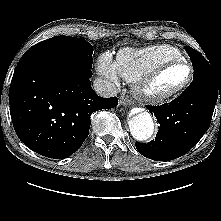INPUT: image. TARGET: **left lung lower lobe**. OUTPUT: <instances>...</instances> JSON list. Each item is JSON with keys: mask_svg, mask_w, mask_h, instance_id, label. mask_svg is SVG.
<instances>
[{"mask_svg": "<svg viewBox=\"0 0 221 221\" xmlns=\"http://www.w3.org/2000/svg\"><path fill=\"white\" fill-rule=\"evenodd\" d=\"M221 103V73L193 78L188 88L170 103L146 106L160 124L155 140L136 142L143 156L157 161L187 153L210 126L216 102Z\"/></svg>", "mask_w": 221, "mask_h": 221, "instance_id": "left-lung-lower-lobe-1", "label": "left lung lower lobe"}]
</instances>
